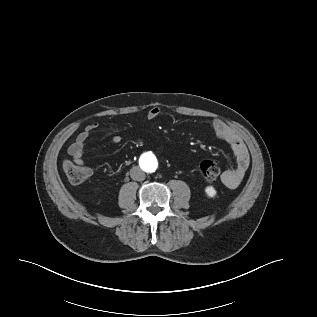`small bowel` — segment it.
<instances>
[{"label":"small bowel","instance_id":"obj_1","mask_svg":"<svg viewBox=\"0 0 317 317\" xmlns=\"http://www.w3.org/2000/svg\"><path fill=\"white\" fill-rule=\"evenodd\" d=\"M161 114V109L157 106L150 108L148 111V118L155 120ZM98 123H92L85 127V129L77 136L75 141L70 144L68 148L69 155L73 158L74 162L83 164V155L86 149L87 140L90 135L97 131ZM211 128L215 135L228 143L231 147L233 155L236 160V165L233 169H229L222 175V182L228 188H236L242 181L245 172L249 166V154L240 136L224 121L220 119H213L211 121ZM121 136L113 135L111 142L113 144H119L121 142Z\"/></svg>","mask_w":317,"mask_h":317}]
</instances>
